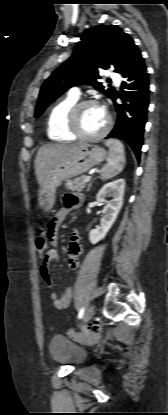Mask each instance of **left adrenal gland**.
<instances>
[{
	"instance_id": "1",
	"label": "left adrenal gland",
	"mask_w": 168,
	"mask_h": 415,
	"mask_svg": "<svg viewBox=\"0 0 168 415\" xmlns=\"http://www.w3.org/2000/svg\"><path fill=\"white\" fill-rule=\"evenodd\" d=\"M91 186H92V182H90V184L88 185L87 192H89Z\"/></svg>"
}]
</instances>
